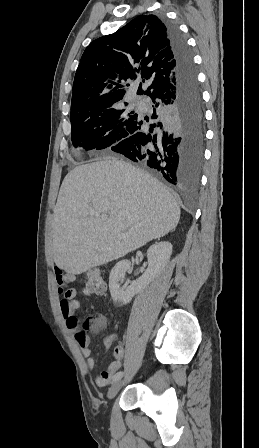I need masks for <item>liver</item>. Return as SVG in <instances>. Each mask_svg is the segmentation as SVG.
I'll use <instances>...</instances> for the list:
<instances>
[{
  "label": "liver",
  "mask_w": 259,
  "mask_h": 448,
  "mask_svg": "<svg viewBox=\"0 0 259 448\" xmlns=\"http://www.w3.org/2000/svg\"><path fill=\"white\" fill-rule=\"evenodd\" d=\"M179 220L173 194L122 158L78 166L64 178L54 208V262L78 276L166 236Z\"/></svg>",
  "instance_id": "obj_1"
}]
</instances>
